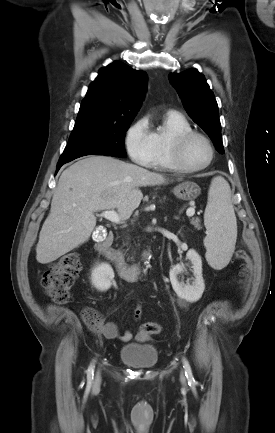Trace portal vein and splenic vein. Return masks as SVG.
I'll list each match as a JSON object with an SVG mask.
<instances>
[{"label":"portal vein and splenic vein","instance_id":"obj_1","mask_svg":"<svg viewBox=\"0 0 275 433\" xmlns=\"http://www.w3.org/2000/svg\"><path fill=\"white\" fill-rule=\"evenodd\" d=\"M194 213H195V209L192 207L188 208L186 211V214L189 217L193 216ZM101 216L104 217L105 219L113 222V223H116V224L121 223V218L119 217V215L114 210L104 211V212H102Z\"/></svg>","mask_w":275,"mask_h":433}]
</instances>
